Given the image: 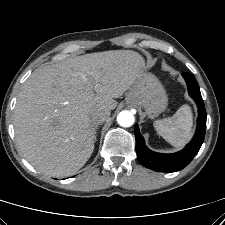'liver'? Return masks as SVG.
I'll use <instances>...</instances> for the list:
<instances>
[{
	"mask_svg": "<svg viewBox=\"0 0 225 225\" xmlns=\"http://www.w3.org/2000/svg\"><path fill=\"white\" fill-rule=\"evenodd\" d=\"M132 50L89 53L36 69L18 94L14 128L19 150L39 172L74 174L94 150L92 111L113 110L144 73Z\"/></svg>",
	"mask_w": 225,
	"mask_h": 225,
	"instance_id": "liver-1",
	"label": "liver"
}]
</instances>
